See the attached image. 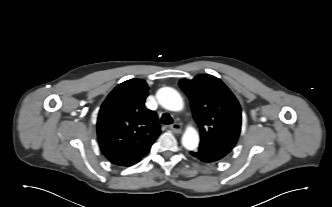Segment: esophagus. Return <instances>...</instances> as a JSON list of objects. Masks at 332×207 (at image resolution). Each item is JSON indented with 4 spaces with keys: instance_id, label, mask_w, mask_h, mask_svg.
<instances>
[{
    "instance_id": "34e87169",
    "label": "esophagus",
    "mask_w": 332,
    "mask_h": 207,
    "mask_svg": "<svg viewBox=\"0 0 332 207\" xmlns=\"http://www.w3.org/2000/svg\"><path fill=\"white\" fill-rule=\"evenodd\" d=\"M170 129L174 132V133H181L182 131V127L179 123H174L170 126Z\"/></svg>"
}]
</instances>
